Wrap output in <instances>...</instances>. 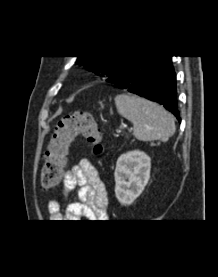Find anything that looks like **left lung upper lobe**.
<instances>
[{"label":"left lung upper lobe","instance_id":"1","mask_svg":"<svg viewBox=\"0 0 218 277\" xmlns=\"http://www.w3.org/2000/svg\"><path fill=\"white\" fill-rule=\"evenodd\" d=\"M135 56H79L76 64L87 67L97 76L108 78L121 70Z\"/></svg>","mask_w":218,"mask_h":277}]
</instances>
